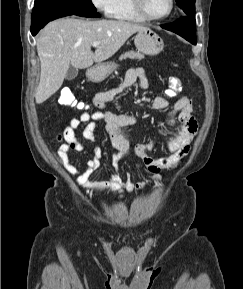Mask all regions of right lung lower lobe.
<instances>
[{
    "label": "right lung lower lobe",
    "mask_w": 243,
    "mask_h": 289,
    "mask_svg": "<svg viewBox=\"0 0 243 289\" xmlns=\"http://www.w3.org/2000/svg\"><path fill=\"white\" fill-rule=\"evenodd\" d=\"M77 15L89 18H98L100 15L93 9H82L75 7H58L54 5H35L32 13L31 33L35 36L38 31L48 22L68 16Z\"/></svg>",
    "instance_id": "obj_1"
}]
</instances>
